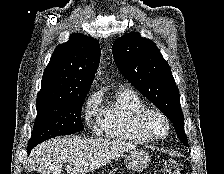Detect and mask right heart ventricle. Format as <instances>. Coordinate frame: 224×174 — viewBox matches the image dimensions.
Instances as JSON below:
<instances>
[{
	"mask_svg": "<svg viewBox=\"0 0 224 174\" xmlns=\"http://www.w3.org/2000/svg\"><path fill=\"white\" fill-rule=\"evenodd\" d=\"M144 108L146 105L137 93L124 88L117 90L100 109L99 133L117 141L150 142L137 127V116Z\"/></svg>",
	"mask_w": 224,
	"mask_h": 174,
	"instance_id": "obj_1",
	"label": "right heart ventricle"
}]
</instances>
